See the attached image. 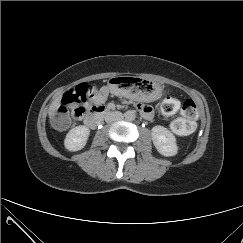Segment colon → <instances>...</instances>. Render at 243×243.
Masks as SVG:
<instances>
[{
  "instance_id": "colon-1",
  "label": "colon",
  "mask_w": 243,
  "mask_h": 243,
  "mask_svg": "<svg viewBox=\"0 0 243 243\" xmlns=\"http://www.w3.org/2000/svg\"><path fill=\"white\" fill-rule=\"evenodd\" d=\"M93 92L87 84L81 83L72 88L62 98L52 123L57 129H66L71 122V118L79 119L86 112V103L93 98ZM180 108V117L171 122V129L178 135H188L195 128V118L197 107L194 101L186 100L180 106L175 98L168 97L161 106V112L164 116L175 114Z\"/></svg>"
}]
</instances>
